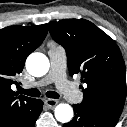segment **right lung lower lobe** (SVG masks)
Returning a JSON list of instances; mask_svg holds the SVG:
<instances>
[{
    "instance_id": "obj_1",
    "label": "right lung lower lobe",
    "mask_w": 127,
    "mask_h": 127,
    "mask_svg": "<svg viewBox=\"0 0 127 127\" xmlns=\"http://www.w3.org/2000/svg\"><path fill=\"white\" fill-rule=\"evenodd\" d=\"M42 106L43 102L39 99H35V108L33 115L31 116V118H29V120L25 124L20 125L18 127H34L35 122L42 111Z\"/></svg>"
}]
</instances>
